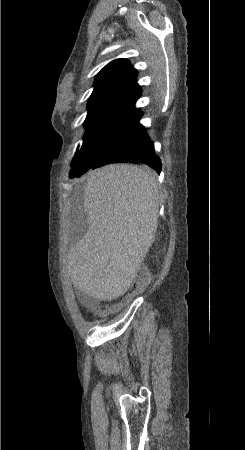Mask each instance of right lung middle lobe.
<instances>
[{"label": "right lung middle lobe", "mask_w": 245, "mask_h": 450, "mask_svg": "<svg viewBox=\"0 0 245 450\" xmlns=\"http://www.w3.org/2000/svg\"><path fill=\"white\" fill-rule=\"evenodd\" d=\"M142 114L115 108L89 109L81 149L73 159L70 177L88 170L106 152H113L130 140Z\"/></svg>", "instance_id": "right-lung-middle-lobe-1"}]
</instances>
